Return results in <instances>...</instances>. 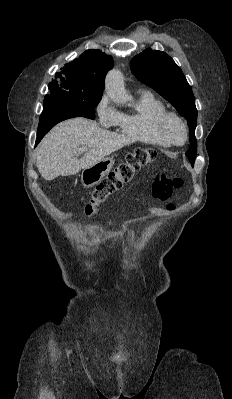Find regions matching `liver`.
Masks as SVG:
<instances>
[{
  "instance_id": "obj_1",
  "label": "liver",
  "mask_w": 232,
  "mask_h": 399,
  "mask_svg": "<svg viewBox=\"0 0 232 399\" xmlns=\"http://www.w3.org/2000/svg\"><path fill=\"white\" fill-rule=\"evenodd\" d=\"M132 142L122 134L103 130L97 122L74 118L61 122L43 138L37 150L36 166L44 180L74 176ZM82 146H86L88 152L78 160Z\"/></svg>"
}]
</instances>
